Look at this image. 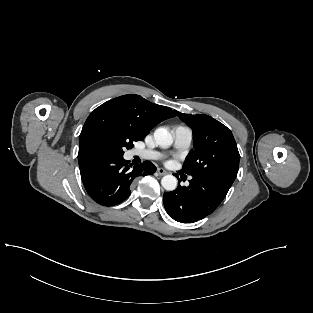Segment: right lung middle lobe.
Wrapping results in <instances>:
<instances>
[{"label":"right lung middle lobe","mask_w":313,"mask_h":313,"mask_svg":"<svg viewBox=\"0 0 313 313\" xmlns=\"http://www.w3.org/2000/svg\"><path fill=\"white\" fill-rule=\"evenodd\" d=\"M141 138L129 127L114 125L106 133L103 140L101 154L123 156L124 149L132 148L133 142Z\"/></svg>","instance_id":"right-lung-middle-lobe-1"}]
</instances>
